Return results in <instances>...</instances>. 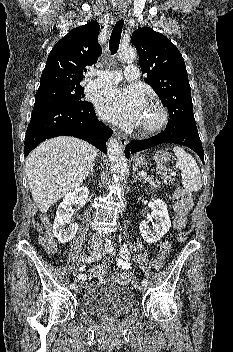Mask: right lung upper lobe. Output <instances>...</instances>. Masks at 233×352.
Listing matches in <instances>:
<instances>
[{
	"label": "right lung upper lobe",
	"instance_id": "1",
	"mask_svg": "<svg viewBox=\"0 0 233 352\" xmlns=\"http://www.w3.org/2000/svg\"><path fill=\"white\" fill-rule=\"evenodd\" d=\"M96 21L72 29L52 48L40 78V87L51 84L80 85L86 67L102 53Z\"/></svg>",
	"mask_w": 233,
	"mask_h": 352
}]
</instances>
